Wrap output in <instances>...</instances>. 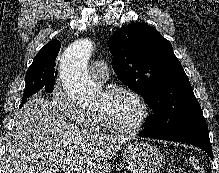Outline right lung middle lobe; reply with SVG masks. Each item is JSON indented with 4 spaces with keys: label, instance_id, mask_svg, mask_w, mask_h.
<instances>
[{
    "label": "right lung middle lobe",
    "instance_id": "obj_1",
    "mask_svg": "<svg viewBox=\"0 0 219 173\" xmlns=\"http://www.w3.org/2000/svg\"><path fill=\"white\" fill-rule=\"evenodd\" d=\"M54 73L45 72L39 66H30L26 73L23 100L39 91L45 90L47 93H51L55 84L56 74Z\"/></svg>",
    "mask_w": 219,
    "mask_h": 173
}]
</instances>
